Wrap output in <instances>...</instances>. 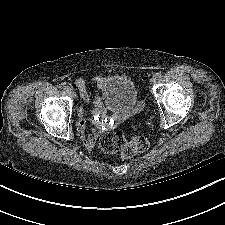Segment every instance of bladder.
Masks as SVG:
<instances>
[{
	"label": "bladder",
	"mask_w": 225,
	"mask_h": 225,
	"mask_svg": "<svg viewBox=\"0 0 225 225\" xmlns=\"http://www.w3.org/2000/svg\"><path fill=\"white\" fill-rule=\"evenodd\" d=\"M100 98L110 110L126 114H135L140 110L139 95L135 84L121 76L112 77L102 86Z\"/></svg>",
	"instance_id": "1"
}]
</instances>
